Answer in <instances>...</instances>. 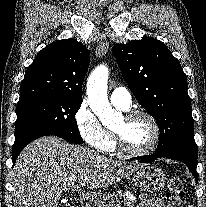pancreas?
Wrapping results in <instances>:
<instances>
[{
    "label": "pancreas",
    "mask_w": 206,
    "mask_h": 207,
    "mask_svg": "<svg viewBox=\"0 0 206 207\" xmlns=\"http://www.w3.org/2000/svg\"><path fill=\"white\" fill-rule=\"evenodd\" d=\"M135 207L133 202L126 199L122 192H111L105 196L101 200H99L95 207Z\"/></svg>",
    "instance_id": "cf45deb5"
}]
</instances>
